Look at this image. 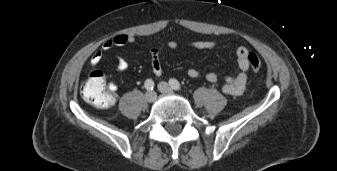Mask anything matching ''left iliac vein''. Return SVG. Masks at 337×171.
Here are the masks:
<instances>
[{
	"mask_svg": "<svg viewBox=\"0 0 337 171\" xmlns=\"http://www.w3.org/2000/svg\"><path fill=\"white\" fill-rule=\"evenodd\" d=\"M158 90L160 92L166 93V94H172L173 93L172 88L166 82H160L158 84Z\"/></svg>",
	"mask_w": 337,
	"mask_h": 171,
	"instance_id": "left-iliac-vein-1",
	"label": "left iliac vein"
}]
</instances>
